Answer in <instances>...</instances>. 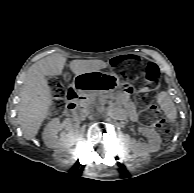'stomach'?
<instances>
[{
    "instance_id": "stomach-1",
    "label": "stomach",
    "mask_w": 194,
    "mask_h": 193,
    "mask_svg": "<svg viewBox=\"0 0 194 193\" xmlns=\"http://www.w3.org/2000/svg\"><path fill=\"white\" fill-rule=\"evenodd\" d=\"M123 88L133 93L132 86L128 83H120L119 78L112 73L90 71L76 75L73 79V88L78 93H109L117 88Z\"/></svg>"
}]
</instances>
